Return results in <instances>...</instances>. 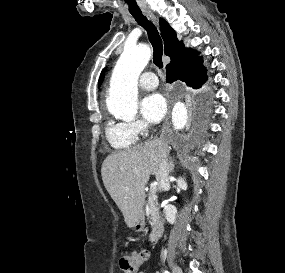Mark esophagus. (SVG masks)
<instances>
[{"label":"esophagus","mask_w":285,"mask_h":273,"mask_svg":"<svg viewBox=\"0 0 285 273\" xmlns=\"http://www.w3.org/2000/svg\"><path fill=\"white\" fill-rule=\"evenodd\" d=\"M146 15L149 16L154 22L157 23V19H156V17L153 15V13L147 11V12H146Z\"/></svg>","instance_id":"34e87169"}]
</instances>
